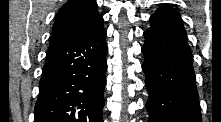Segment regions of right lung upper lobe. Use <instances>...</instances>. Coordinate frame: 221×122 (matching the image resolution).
Segmentation results:
<instances>
[{"instance_id":"cb5924a9","label":"right lung upper lobe","mask_w":221,"mask_h":122,"mask_svg":"<svg viewBox=\"0 0 221 122\" xmlns=\"http://www.w3.org/2000/svg\"><path fill=\"white\" fill-rule=\"evenodd\" d=\"M103 23L95 0H70L57 13L49 50L61 46Z\"/></svg>"}]
</instances>
